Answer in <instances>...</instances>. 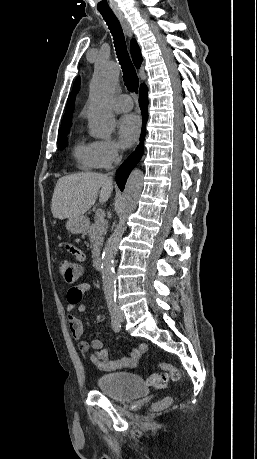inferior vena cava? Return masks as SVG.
Here are the masks:
<instances>
[{
  "label": "inferior vena cava",
  "mask_w": 257,
  "mask_h": 459,
  "mask_svg": "<svg viewBox=\"0 0 257 459\" xmlns=\"http://www.w3.org/2000/svg\"><path fill=\"white\" fill-rule=\"evenodd\" d=\"M114 162H115L116 165H118L121 162V156H119L118 153H116ZM112 174H113V172H110V173L107 174L108 178L111 181H112Z\"/></svg>",
  "instance_id": "1"
}]
</instances>
